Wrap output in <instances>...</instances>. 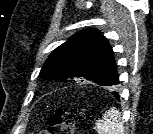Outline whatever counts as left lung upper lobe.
Instances as JSON below:
<instances>
[{
    "mask_svg": "<svg viewBox=\"0 0 153 134\" xmlns=\"http://www.w3.org/2000/svg\"><path fill=\"white\" fill-rule=\"evenodd\" d=\"M44 79H83L115 89L120 83L108 40L97 30L77 32L57 47L43 65Z\"/></svg>",
    "mask_w": 153,
    "mask_h": 134,
    "instance_id": "left-lung-upper-lobe-1",
    "label": "left lung upper lobe"
}]
</instances>
